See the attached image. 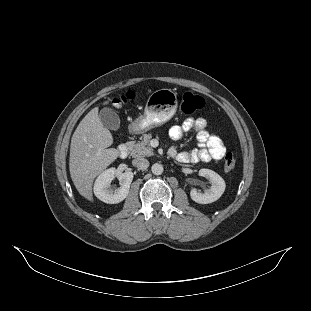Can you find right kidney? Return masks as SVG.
Instances as JSON below:
<instances>
[{"label":"right kidney","instance_id":"obj_1","mask_svg":"<svg viewBox=\"0 0 311 311\" xmlns=\"http://www.w3.org/2000/svg\"><path fill=\"white\" fill-rule=\"evenodd\" d=\"M116 173L115 167H110L102 171L94 180L93 193L101 201L105 203H119L128 195L131 181L133 179L132 172H124L118 176L120 187L115 191L110 189V183Z\"/></svg>","mask_w":311,"mask_h":311}]
</instances>
